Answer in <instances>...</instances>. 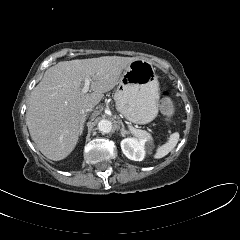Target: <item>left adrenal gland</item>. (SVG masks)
Here are the masks:
<instances>
[{"instance_id":"left-adrenal-gland-1","label":"left adrenal gland","mask_w":240,"mask_h":240,"mask_svg":"<svg viewBox=\"0 0 240 240\" xmlns=\"http://www.w3.org/2000/svg\"><path fill=\"white\" fill-rule=\"evenodd\" d=\"M120 123H121V135L124 137L125 134H128V131L125 129L123 122L120 121Z\"/></svg>"}]
</instances>
